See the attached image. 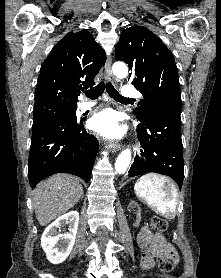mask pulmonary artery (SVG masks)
<instances>
[{
	"instance_id": "1",
	"label": "pulmonary artery",
	"mask_w": 221,
	"mask_h": 278,
	"mask_svg": "<svg viewBox=\"0 0 221 278\" xmlns=\"http://www.w3.org/2000/svg\"><path fill=\"white\" fill-rule=\"evenodd\" d=\"M139 95V91L132 86H125L122 90V96L128 99L138 97ZM95 104V102H84L81 104L80 109L82 111H85L94 107Z\"/></svg>"
}]
</instances>
